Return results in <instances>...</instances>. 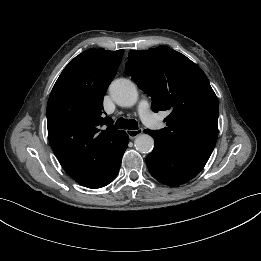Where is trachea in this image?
<instances>
[{
	"mask_svg": "<svg viewBox=\"0 0 261 261\" xmlns=\"http://www.w3.org/2000/svg\"><path fill=\"white\" fill-rule=\"evenodd\" d=\"M116 129H129V130H137L138 129V123L134 119H125V118H119L115 123Z\"/></svg>",
	"mask_w": 261,
	"mask_h": 261,
	"instance_id": "3493384b",
	"label": "trachea"
}]
</instances>
